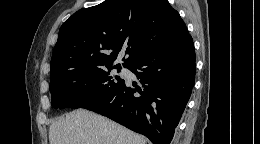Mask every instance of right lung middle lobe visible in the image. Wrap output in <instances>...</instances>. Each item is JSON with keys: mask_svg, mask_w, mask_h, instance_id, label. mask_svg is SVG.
Returning a JSON list of instances; mask_svg holds the SVG:
<instances>
[{"mask_svg": "<svg viewBox=\"0 0 260 144\" xmlns=\"http://www.w3.org/2000/svg\"><path fill=\"white\" fill-rule=\"evenodd\" d=\"M120 70V66H114ZM111 65L87 67L50 77L51 105L54 108H80L105 98L124 84L119 76L109 77Z\"/></svg>", "mask_w": 260, "mask_h": 144, "instance_id": "obj_1", "label": "right lung middle lobe"}]
</instances>
